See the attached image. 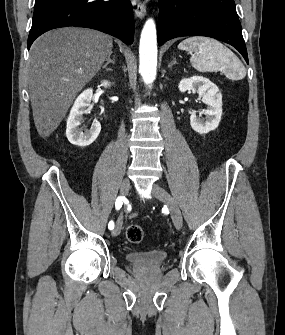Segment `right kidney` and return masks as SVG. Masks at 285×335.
I'll list each match as a JSON object with an SVG mask.
<instances>
[{
	"label": "right kidney",
	"instance_id": "right-kidney-1",
	"mask_svg": "<svg viewBox=\"0 0 285 335\" xmlns=\"http://www.w3.org/2000/svg\"><path fill=\"white\" fill-rule=\"evenodd\" d=\"M111 82H107V80H103L101 82V86L104 88H108ZM93 90H84L78 98H76L69 114V118L67 120V130L66 136L73 146H80V148H86V146H90L92 142H95L97 136L100 134L101 124L100 122H93L89 132H80L78 126L82 124L83 114H87L88 106H91L90 102L92 100Z\"/></svg>",
	"mask_w": 285,
	"mask_h": 335
}]
</instances>
